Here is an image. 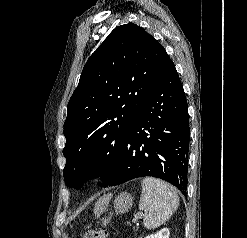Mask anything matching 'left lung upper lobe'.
Wrapping results in <instances>:
<instances>
[{"label":"left lung upper lobe","instance_id":"1","mask_svg":"<svg viewBox=\"0 0 247 238\" xmlns=\"http://www.w3.org/2000/svg\"><path fill=\"white\" fill-rule=\"evenodd\" d=\"M168 55L133 23L116 27L89 57L64 123L63 171L68 186L102 171L113 176L129 129L157 83Z\"/></svg>","mask_w":247,"mask_h":238}]
</instances>
